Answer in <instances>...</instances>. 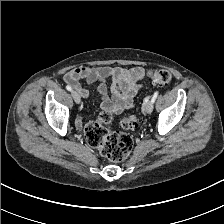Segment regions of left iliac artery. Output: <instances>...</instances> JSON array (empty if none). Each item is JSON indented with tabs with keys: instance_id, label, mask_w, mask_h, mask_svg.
Wrapping results in <instances>:
<instances>
[{
	"instance_id": "obj_1",
	"label": "left iliac artery",
	"mask_w": 224,
	"mask_h": 224,
	"mask_svg": "<svg viewBox=\"0 0 224 224\" xmlns=\"http://www.w3.org/2000/svg\"><path fill=\"white\" fill-rule=\"evenodd\" d=\"M157 96H158V91H156V92L153 94L151 100L154 102V101L156 100Z\"/></svg>"
}]
</instances>
